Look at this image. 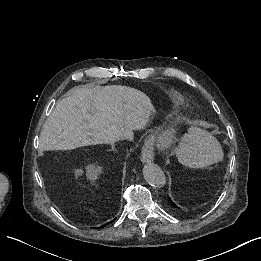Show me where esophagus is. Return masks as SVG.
Returning a JSON list of instances; mask_svg holds the SVG:
<instances>
[{
    "label": "esophagus",
    "instance_id": "34e87169",
    "mask_svg": "<svg viewBox=\"0 0 261 261\" xmlns=\"http://www.w3.org/2000/svg\"><path fill=\"white\" fill-rule=\"evenodd\" d=\"M154 160V139L148 138L141 150V162L148 163Z\"/></svg>",
    "mask_w": 261,
    "mask_h": 261
}]
</instances>
